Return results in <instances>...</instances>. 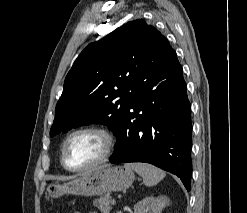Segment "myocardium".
Returning <instances> with one entry per match:
<instances>
[{"label": "myocardium", "instance_id": "obj_1", "mask_svg": "<svg viewBox=\"0 0 247 213\" xmlns=\"http://www.w3.org/2000/svg\"><path fill=\"white\" fill-rule=\"evenodd\" d=\"M80 133H94V134L101 136L104 141V150L100 158L96 160L95 162H93L92 164L85 166V167L73 168L67 164L66 159H65L66 146L69 140L73 136L80 134ZM115 144H116L115 137L113 133L107 128L99 127V126H85V127L74 129L65 137L62 143L61 156H60L61 164L67 171L74 172V173H82V172L93 170L103 165L109 160V158L114 152Z\"/></svg>", "mask_w": 247, "mask_h": 213}]
</instances>
